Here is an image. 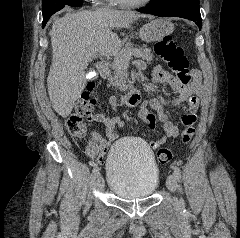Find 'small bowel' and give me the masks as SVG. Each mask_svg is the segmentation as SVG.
Segmentation results:
<instances>
[{
  "label": "small bowel",
  "instance_id": "c3829d8e",
  "mask_svg": "<svg viewBox=\"0 0 240 238\" xmlns=\"http://www.w3.org/2000/svg\"><path fill=\"white\" fill-rule=\"evenodd\" d=\"M139 69H144L143 62H137ZM194 77L189 83H182L161 66H157L152 71L153 87L161 83H169L174 91L178 93V97L167 100L164 103L157 98L144 100L139 104L138 115L144 122L147 128L152 132H159V137L150 142L153 149L158 148L167 139L178 135V127L168 119L164 110V104L172 107H179L185 111L182 117L184 126L194 125L197 120V109L199 106V96L202 94L201 75L199 71L193 70ZM109 104L114 111L118 110L119 102L114 96H110ZM185 103V104H184ZM88 120L91 122L101 123L106 129V138L94 133L93 137L101 144V153L98 154V166H105V154H108L110 142L119 138L118 129L123 126V121L120 117L110 118L104 113H93L88 115ZM157 121L162 123V128L159 130Z\"/></svg>",
  "mask_w": 240,
  "mask_h": 238
}]
</instances>
